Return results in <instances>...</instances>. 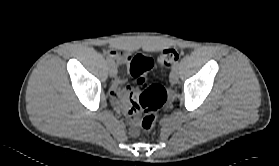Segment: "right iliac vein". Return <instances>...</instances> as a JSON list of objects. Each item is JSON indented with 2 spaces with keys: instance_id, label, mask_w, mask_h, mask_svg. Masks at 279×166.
I'll use <instances>...</instances> for the list:
<instances>
[{
  "instance_id": "1",
  "label": "right iliac vein",
  "mask_w": 279,
  "mask_h": 166,
  "mask_svg": "<svg viewBox=\"0 0 279 166\" xmlns=\"http://www.w3.org/2000/svg\"><path fill=\"white\" fill-rule=\"evenodd\" d=\"M109 74L111 77H115L117 75V67L115 66V64L110 65Z\"/></svg>"
}]
</instances>
